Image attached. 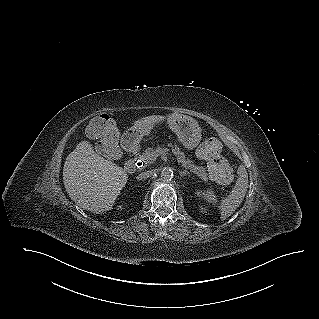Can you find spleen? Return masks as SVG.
Masks as SVG:
<instances>
[{"label": "spleen", "instance_id": "1", "mask_svg": "<svg viewBox=\"0 0 319 319\" xmlns=\"http://www.w3.org/2000/svg\"><path fill=\"white\" fill-rule=\"evenodd\" d=\"M238 179L232 192L221 201V220L228 218L239 207L244 200L248 188V173L243 165H240L237 171ZM204 198L208 203H215L216 196L214 192L209 189L203 193Z\"/></svg>", "mask_w": 319, "mask_h": 319}]
</instances>
